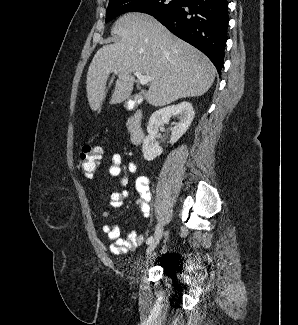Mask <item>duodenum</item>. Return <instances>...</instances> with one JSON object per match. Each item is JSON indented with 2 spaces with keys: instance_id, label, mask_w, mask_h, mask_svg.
<instances>
[{
  "instance_id": "410a0bca",
  "label": "duodenum",
  "mask_w": 298,
  "mask_h": 325,
  "mask_svg": "<svg viewBox=\"0 0 298 325\" xmlns=\"http://www.w3.org/2000/svg\"><path fill=\"white\" fill-rule=\"evenodd\" d=\"M130 140L133 145H139L144 140L143 113L136 110L128 119Z\"/></svg>"
}]
</instances>
